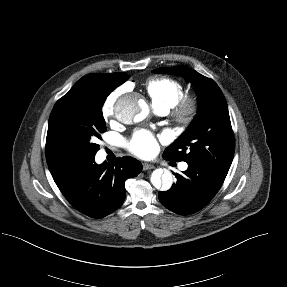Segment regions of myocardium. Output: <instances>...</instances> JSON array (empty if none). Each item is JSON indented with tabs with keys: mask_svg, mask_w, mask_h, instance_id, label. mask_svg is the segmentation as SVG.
Segmentation results:
<instances>
[{
	"mask_svg": "<svg viewBox=\"0 0 287 287\" xmlns=\"http://www.w3.org/2000/svg\"><path fill=\"white\" fill-rule=\"evenodd\" d=\"M198 113V100L194 96H182L177 104L172 107L173 121L182 127L189 126Z\"/></svg>",
	"mask_w": 287,
	"mask_h": 287,
	"instance_id": "f54148a6",
	"label": "myocardium"
}]
</instances>
